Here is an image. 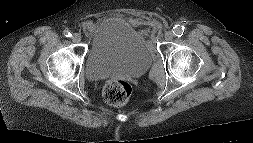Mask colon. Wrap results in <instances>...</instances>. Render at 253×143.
<instances>
[{
    "label": "colon",
    "instance_id": "1",
    "mask_svg": "<svg viewBox=\"0 0 253 143\" xmlns=\"http://www.w3.org/2000/svg\"><path fill=\"white\" fill-rule=\"evenodd\" d=\"M103 95L105 101L110 105H124L132 95V87L126 81L114 80L105 86Z\"/></svg>",
    "mask_w": 253,
    "mask_h": 143
}]
</instances>
